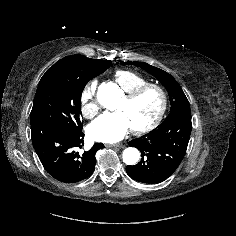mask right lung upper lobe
I'll return each mask as SVG.
<instances>
[{
  "label": "right lung upper lobe",
  "mask_w": 236,
  "mask_h": 236,
  "mask_svg": "<svg viewBox=\"0 0 236 236\" xmlns=\"http://www.w3.org/2000/svg\"><path fill=\"white\" fill-rule=\"evenodd\" d=\"M105 61L107 60H95L83 55H71L55 63L46 72H57L67 75L87 73Z\"/></svg>",
  "instance_id": "right-lung-upper-lobe-1"
}]
</instances>
